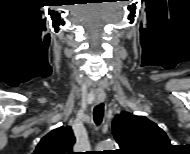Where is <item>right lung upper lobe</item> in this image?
Returning <instances> with one entry per match:
<instances>
[{
  "label": "right lung upper lobe",
  "mask_w": 190,
  "mask_h": 154,
  "mask_svg": "<svg viewBox=\"0 0 190 154\" xmlns=\"http://www.w3.org/2000/svg\"><path fill=\"white\" fill-rule=\"evenodd\" d=\"M74 143L75 137L71 127L61 126L44 136L33 154H73Z\"/></svg>",
  "instance_id": "cb5924a9"
}]
</instances>
